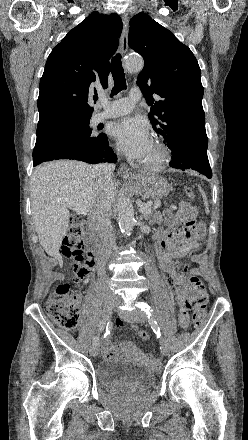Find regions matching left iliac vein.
I'll use <instances>...</instances> for the list:
<instances>
[{"label": "left iliac vein", "instance_id": "4c4485c4", "mask_svg": "<svg viewBox=\"0 0 248 440\" xmlns=\"http://www.w3.org/2000/svg\"><path fill=\"white\" fill-rule=\"evenodd\" d=\"M120 304V300H116V306ZM119 315L128 322H136V323H142L146 321V315L141 311H133V312H125V311H118ZM161 352L163 355H167L169 352V347L166 341H164V344L161 348Z\"/></svg>", "mask_w": 248, "mask_h": 440}]
</instances>
